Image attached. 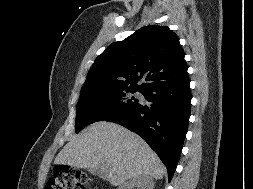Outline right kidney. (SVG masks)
Here are the masks:
<instances>
[{
  "label": "right kidney",
  "mask_w": 253,
  "mask_h": 189,
  "mask_svg": "<svg viewBox=\"0 0 253 189\" xmlns=\"http://www.w3.org/2000/svg\"><path fill=\"white\" fill-rule=\"evenodd\" d=\"M154 189V181L150 176H136L131 178L128 182L119 186L118 189Z\"/></svg>",
  "instance_id": "ca27d5eb"
}]
</instances>
